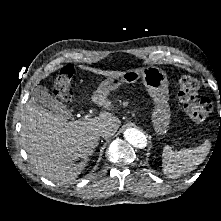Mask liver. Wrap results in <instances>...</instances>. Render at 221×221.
I'll list each match as a JSON object with an SVG mask.
<instances>
[{
	"mask_svg": "<svg viewBox=\"0 0 221 221\" xmlns=\"http://www.w3.org/2000/svg\"><path fill=\"white\" fill-rule=\"evenodd\" d=\"M85 69L106 77L120 73ZM91 101L106 110L113 109L107 96L93 95ZM120 124L116 116L106 111L89 120L68 122L66 117L39 106L31 98L22 113L21 140L30 163L39 174L58 183H69L86 167L98 146L99 131L105 130L109 137ZM79 158L81 162L75 164Z\"/></svg>",
	"mask_w": 221,
	"mask_h": 221,
	"instance_id": "6515ba94",
	"label": "liver"
}]
</instances>
